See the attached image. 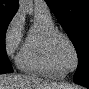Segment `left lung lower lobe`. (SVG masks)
Returning <instances> with one entry per match:
<instances>
[{
    "mask_svg": "<svg viewBox=\"0 0 89 89\" xmlns=\"http://www.w3.org/2000/svg\"><path fill=\"white\" fill-rule=\"evenodd\" d=\"M75 83L89 88V78L80 77L74 80Z\"/></svg>",
    "mask_w": 89,
    "mask_h": 89,
    "instance_id": "1",
    "label": "left lung lower lobe"
}]
</instances>
